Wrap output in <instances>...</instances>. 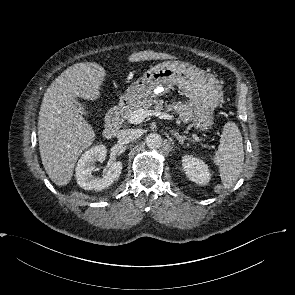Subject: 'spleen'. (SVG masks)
Masks as SVG:
<instances>
[{
    "mask_svg": "<svg viewBox=\"0 0 295 295\" xmlns=\"http://www.w3.org/2000/svg\"><path fill=\"white\" fill-rule=\"evenodd\" d=\"M244 150L240 130L234 122H227L221 134L213 163L219 166L224 188H230L243 170Z\"/></svg>",
    "mask_w": 295,
    "mask_h": 295,
    "instance_id": "3e777b00",
    "label": "spleen"
}]
</instances>
